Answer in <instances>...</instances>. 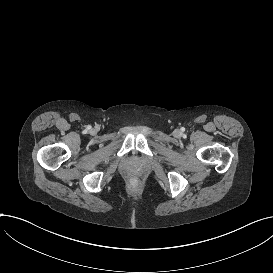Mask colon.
<instances>
[{"mask_svg": "<svg viewBox=\"0 0 273 273\" xmlns=\"http://www.w3.org/2000/svg\"><path fill=\"white\" fill-rule=\"evenodd\" d=\"M141 180L137 177H132L128 181V189L132 192H138L140 190Z\"/></svg>", "mask_w": 273, "mask_h": 273, "instance_id": "colon-1", "label": "colon"}]
</instances>
